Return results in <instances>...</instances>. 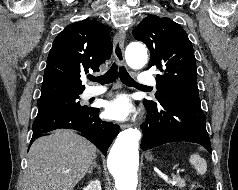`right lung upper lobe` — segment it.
Segmentation results:
<instances>
[{"label":"right lung upper lobe","instance_id":"cb5924a9","mask_svg":"<svg viewBox=\"0 0 238 190\" xmlns=\"http://www.w3.org/2000/svg\"><path fill=\"white\" fill-rule=\"evenodd\" d=\"M108 31V26L94 20L66 26L53 41L39 100L81 94L85 89L81 74L99 71V66L111 56Z\"/></svg>","mask_w":238,"mask_h":190}]
</instances>
